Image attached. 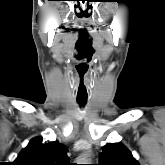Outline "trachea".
I'll use <instances>...</instances> for the list:
<instances>
[{
    "instance_id": "trachea-1",
    "label": "trachea",
    "mask_w": 165,
    "mask_h": 165,
    "mask_svg": "<svg viewBox=\"0 0 165 165\" xmlns=\"http://www.w3.org/2000/svg\"><path fill=\"white\" fill-rule=\"evenodd\" d=\"M77 102L81 105L84 106L87 102V98H77Z\"/></svg>"
}]
</instances>
